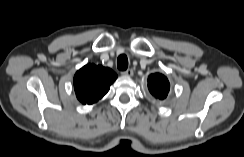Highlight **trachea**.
Masks as SVG:
<instances>
[{"label":"trachea","instance_id":"1","mask_svg":"<svg viewBox=\"0 0 244 157\" xmlns=\"http://www.w3.org/2000/svg\"><path fill=\"white\" fill-rule=\"evenodd\" d=\"M117 67L119 70L124 71L128 67V58L126 55L122 54L117 59Z\"/></svg>","mask_w":244,"mask_h":157}]
</instances>
